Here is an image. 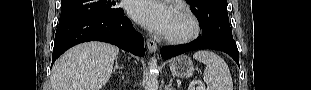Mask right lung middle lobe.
Returning <instances> with one entry per match:
<instances>
[{"instance_id":"1","label":"right lung middle lobe","mask_w":311,"mask_h":90,"mask_svg":"<svg viewBox=\"0 0 311 90\" xmlns=\"http://www.w3.org/2000/svg\"><path fill=\"white\" fill-rule=\"evenodd\" d=\"M114 1L107 0H61L59 25L79 17L100 15L110 16L121 11Z\"/></svg>"}]
</instances>
